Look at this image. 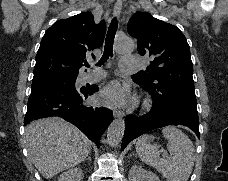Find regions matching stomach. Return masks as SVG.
I'll return each mask as SVG.
<instances>
[{"label": "stomach", "mask_w": 228, "mask_h": 181, "mask_svg": "<svg viewBox=\"0 0 228 181\" xmlns=\"http://www.w3.org/2000/svg\"><path fill=\"white\" fill-rule=\"evenodd\" d=\"M152 139H154V137H148L147 143H151Z\"/></svg>", "instance_id": "stomach-1"}]
</instances>
